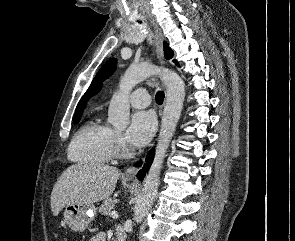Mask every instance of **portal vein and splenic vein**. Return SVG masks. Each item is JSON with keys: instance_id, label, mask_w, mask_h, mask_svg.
Here are the masks:
<instances>
[{"instance_id": "18ae733b", "label": "portal vein and splenic vein", "mask_w": 295, "mask_h": 241, "mask_svg": "<svg viewBox=\"0 0 295 241\" xmlns=\"http://www.w3.org/2000/svg\"><path fill=\"white\" fill-rule=\"evenodd\" d=\"M111 216H112L113 218H115V217L118 216V214H117V212L113 211V212L111 213Z\"/></svg>"}]
</instances>
